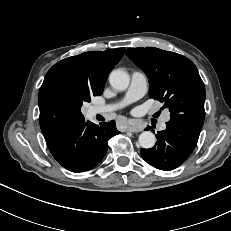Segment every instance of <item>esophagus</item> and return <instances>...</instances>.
Listing matches in <instances>:
<instances>
[{
  "label": "esophagus",
  "mask_w": 231,
  "mask_h": 231,
  "mask_svg": "<svg viewBox=\"0 0 231 231\" xmlns=\"http://www.w3.org/2000/svg\"><path fill=\"white\" fill-rule=\"evenodd\" d=\"M142 129L137 127V126H128L126 128V131H129V132H140Z\"/></svg>",
  "instance_id": "esophagus-1"
}]
</instances>
